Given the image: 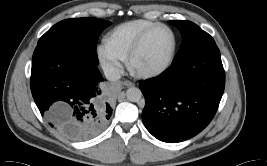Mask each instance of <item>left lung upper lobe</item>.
Instances as JSON below:
<instances>
[{
    "mask_svg": "<svg viewBox=\"0 0 267 166\" xmlns=\"http://www.w3.org/2000/svg\"><path fill=\"white\" fill-rule=\"evenodd\" d=\"M182 34V45L175 61H180L202 47L215 45L213 38L198 25L190 21H170Z\"/></svg>",
    "mask_w": 267,
    "mask_h": 166,
    "instance_id": "1",
    "label": "left lung upper lobe"
}]
</instances>
